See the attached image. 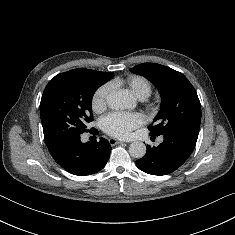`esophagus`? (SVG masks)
<instances>
[{
    "label": "esophagus",
    "instance_id": "esophagus-1",
    "mask_svg": "<svg viewBox=\"0 0 235 235\" xmlns=\"http://www.w3.org/2000/svg\"><path fill=\"white\" fill-rule=\"evenodd\" d=\"M108 141H109V144H110L111 146H114V145H116V144L123 143L122 140H118V139H115V138H110Z\"/></svg>",
    "mask_w": 235,
    "mask_h": 235
}]
</instances>
